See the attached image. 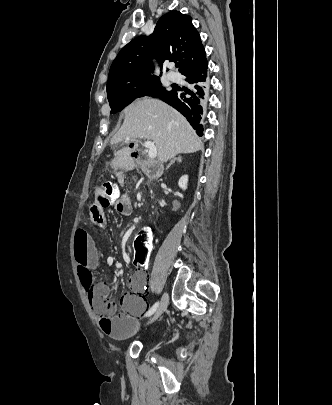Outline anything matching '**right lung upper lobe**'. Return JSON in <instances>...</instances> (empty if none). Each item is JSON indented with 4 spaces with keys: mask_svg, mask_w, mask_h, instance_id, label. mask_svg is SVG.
Wrapping results in <instances>:
<instances>
[{
    "mask_svg": "<svg viewBox=\"0 0 332 405\" xmlns=\"http://www.w3.org/2000/svg\"><path fill=\"white\" fill-rule=\"evenodd\" d=\"M159 63L177 59L182 73L205 59L200 35L192 24V18L179 11H171L159 19L154 32L139 36L124 46L113 61L107 82V90L127 79L155 77L151 57Z\"/></svg>",
    "mask_w": 332,
    "mask_h": 405,
    "instance_id": "right-lung-upper-lobe-1",
    "label": "right lung upper lobe"
}]
</instances>
